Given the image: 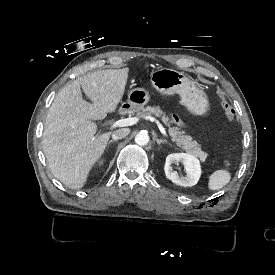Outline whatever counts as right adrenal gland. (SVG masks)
Here are the masks:
<instances>
[{
    "instance_id": "obj_1",
    "label": "right adrenal gland",
    "mask_w": 275,
    "mask_h": 275,
    "mask_svg": "<svg viewBox=\"0 0 275 275\" xmlns=\"http://www.w3.org/2000/svg\"><path fill=\"white\" fill-rule=\"evenodd\" d=\"M116 140H110L109 142H108V146L110 145V143H112V142H115Z\"/></svg>"
}]
</instances>
